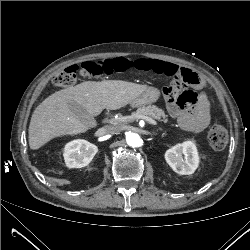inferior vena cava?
Returning <instances> with one entry per match:
<instances>
[{
    "label": "inferior vena cava",
    "instance_id": "1",
    "mask_svg": "<svg viewBox=\"0 0 250 250\" xmlns=\"http://www.w3.org/2000/svg\"><path fill=\"white\" fill-rule=\"evenodd\" d=\"M104 133L107 134H115L119 132V128L116 126H112V125H107L103 128Z\"/></svg>",
    "mask_w": 250,
    "mask_h": 250
}]
</instances>
